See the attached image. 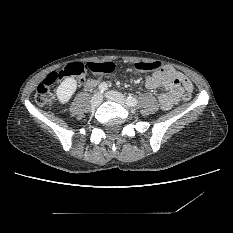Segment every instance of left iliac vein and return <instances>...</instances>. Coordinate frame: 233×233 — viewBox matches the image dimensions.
Instances as JSON below:
<instances>
[{"label": "left iliac vein", "mask_w": 233, "mask_h": 233, "mask_svg": "<svg viewBox=\"0 0 233 233\" xmlns=\"http://www.w3.org/2000/svg\"><path fill=\"white\" fill-rule=\"evenodd\" d=\"M105 97L111 101H115V102L120 103L122 105H125V103H126L125 97L121 93L116 92V91L107 92L105 94Z\"/></svg>", "instance_id": "left-iliac-vein-1"}]
</instances>
